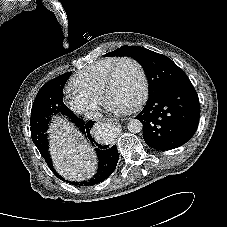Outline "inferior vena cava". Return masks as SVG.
I'll return each instance as SVG.
<instances>
[{
	"label": "inferior vena cava",
	"mask_w": 227,
	"mask_h": 227,
	"mask_svg": "<svg viewBox=\"0 0 227 227\" xmlns=\"http://www.w3.org/2000/svg\"><path fill=\"white\" fill-rule=\"evenodd\" d=\"M85 116L90 120H99L102 117V114L97 110H90L85 113Z\"/></svg>",
	"instance_id": "1"
}]
</instances>
